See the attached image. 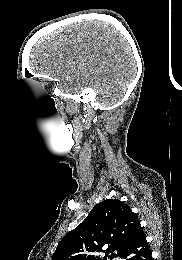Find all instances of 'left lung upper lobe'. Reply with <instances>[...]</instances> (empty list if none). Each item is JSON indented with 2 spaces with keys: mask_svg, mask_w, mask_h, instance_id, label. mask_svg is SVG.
Masks as SVG:
<instances>
[{
  "mask_svg": "<svg viewBox=\"0 0 182 260\" xmlns=\"http://www.w3.org/2000/svg\"><path fill=\"white\" fill-rule=\"evenodd\" d=\"M140 226L135 213L120 200L106 199L95 205L86 219L67 233L52 260H112L121 257Z\"/></svg>",
  "mask_w": 182,
  "mask_h": 260,
  "instance_id": "5c2ea615",
  "label": "left lung upper lobe"
}]
</instances>
